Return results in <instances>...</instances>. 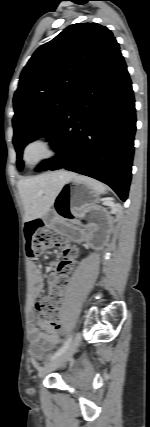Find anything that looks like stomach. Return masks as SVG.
<instances>
[{"label": "stomach", "instance_id": "stomach-1", "mask_svg": "<svg viewBox=\"0 0 150 427\" xmlns=\"http://www.w3.org/2000/svg\"><path fill=\"white\" fill-rule=\"evenodd\" d=\"M98 196L94 188L75 177L59 190L52 205L53 211L63 220L75 222L98 201Z\"/></svg>", "mask_w": 150, "mask_h": 427}]
</instances>
